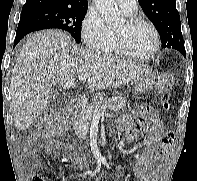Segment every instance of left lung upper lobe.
I'll return each mask as SVG.
<instances>
[{
	"instance_id": "1",
	"label": "left lung upper lobe",
	"mask_w": 197,
	"mask_h": 181,
	"mask_svg": "<svg viewBox=\"0 0 197 181\" xmlns=\"http://www.w3.org/2000/svg\"><path fill=\"white\" fill-rule=\"evenodd\" d=\"M145 15L156 27L164 48L185 52L180 16L175 0H138Z\"/></svg>"
}]
</instances>
